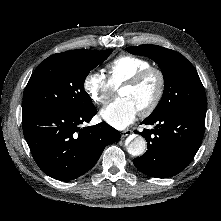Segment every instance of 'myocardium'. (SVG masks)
I'll list each match as a JSON object with an SVG mask.
<instances>
[{
    "instance_id": "obj_1",
    "label": "myocardium",
    "mask_w": 221,
    "mask_h": 221,
    "mask_svg": "<svg viewBox=\"0 0 221 221\" xmlns=\"http://www.w3.org/2000/svg\"><path fill=\"white\" fill-rule=\"evenodd\" d=\"M152 74L156 75L158 78L157 92L153 100L146 107L139 110V113L141 116L150 115L158 108V106L162 102L165 89H166V78H165L164 72L158 67L149 66L147 68H144L138 71L136 74H134L129 79L125 80L120 85V88L125 87V86H137L140 83H142L148 76Z\"/></svg>"
}]
</instances>
